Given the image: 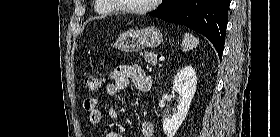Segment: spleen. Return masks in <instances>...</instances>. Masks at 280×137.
Here are the masks:
<instances>
[{
    "label": "spleen",
    "mask_w": 280,
    "mask_h": 137,
    "mask_svg": "<svg viewBox=\"0 0 280 137\" xmlns=\"http://www.w3.org/2000/svg\"><path fill=\"white\" fill-rule=\"evenodd\" d=\"M198 44H199V40L197 38H195L193 35L189 33H185V36L182 41V48L184 52L195 48Z\"/></svg>",
    "instance_id": "1"
}]
</instances>
